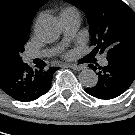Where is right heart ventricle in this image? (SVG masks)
<instances>
[{
    "label": "right heart ventricle",
    "instance_id": "right-heart-ventricle-1",
    "mask_svg": "<svg viewBox=\"0 0 135 135\" xmlns=\"http://www.w3.org/2000/svg\"><path fill=\"white\" fill-rule=\"evenodd\" d=\"M69 14H79V13H78V10L75 7L67 6L61 11L60 16L69 15Z\"/></svg>",
    "mask_w": 135,
    "mask_h": 135
}]
</instances>
